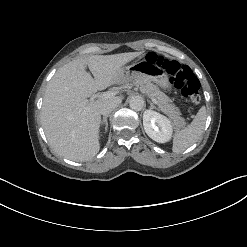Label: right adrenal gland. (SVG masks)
Listing matches in <instances>:
<instances>
[{
	"mask_svg": "<svg viewBox=\"0 0 247 247\" xmlns=\"http://www.w3.org/2000/svg\"><path fill=\"white\" fill-rule=\"evenodd\" d=\"M108 115L104 116L101 123L105 124V131L108 129V122H107Z\"/></svg>",
	"mask_w": 247,
	"mask_h": 247,
	"instance_id": "obj_1",
	"label": "right adrenal gland"
}]
</instances>
